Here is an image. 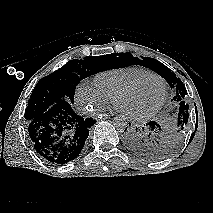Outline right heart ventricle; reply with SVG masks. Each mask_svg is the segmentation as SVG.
<instances>
[{
    "instance_id": "e07e8e85",
    "label": "right heart ventricle",
    "mask_w": 213,
    "mask_h": 213,
    "mask_svg": "<svg viewBox=\"0 0 213 213\" xmlns=\"http://www.w3.org/2000/svg\"><path fill=\"white\" fill-rule=\"evenodd\" d=\"M151 72L139 66H124L103 71L95 76V84L109 98L136 77Z\"/></svg>"
}]
</instances>
